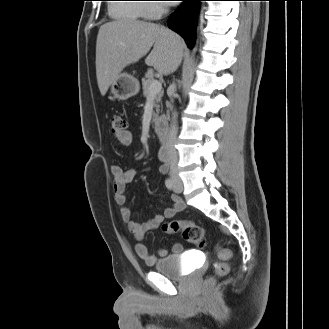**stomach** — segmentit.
Here are the masks:
<instances>
[{
	"mask_svg": "<svg viewBox=\"0 0 329 329\" xmlns=\"http://www.w3.org/2000/svg\"><path fill=\"white\" fill-rule=\"evenodd\" d=\"M138 80L128 73H122L111 83V93L119 100H126L139 92Z\"/></svg>",
	"mask_w": 329,
	"mask_h": 329,
	"instance_id": "stomach-1",
	"label": "stomach"
}]
</instances>
